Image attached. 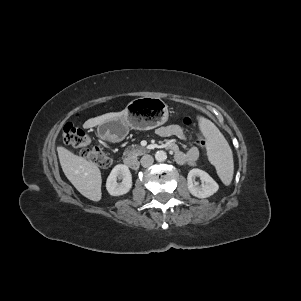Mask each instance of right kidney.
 <instances>
[{"instance_id":"1","label":"right kidney","mask_w":301,"mask_h":301,"mask_svg":"<svg viewBox=\"0 0 301 301\" xmlns=\"http://www.w3.org/2000/svg\"><path fill=\"white\" fill-rule=\"evenodd\" d=\"M122 179L121 183L117 179ZM132 187V175L128 166L124 164L116 165L106 181V189L112 196H121L130 191Z\"/></svg>"}]
</instances>
